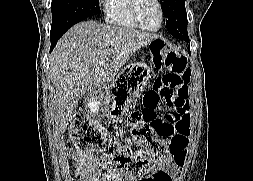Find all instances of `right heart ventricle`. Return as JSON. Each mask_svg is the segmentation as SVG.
I'll return each instance as SVG.
<instances>
[{
	"instance_id": "1",
	"label": "right heart ventricle",
	"mask_w": 253,
	"mask_h": 181,
	"mask_svg": "<svg viewBox=\"0 0 253 181\" xmlns=\"http://www.w3.org/2000/svg\"><path fill=\"white\" fill-rule=\"evenodd\" d=\"M130 5L131 0H102L106 22L125 30L140 29L132 19Z\"/></svg>"
}]
</instances>
